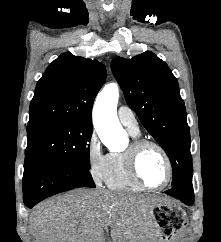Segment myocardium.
<instances>
[{
	"mask_svg": "<svg viewBox=\"0 0 221 242\" xmlns=\"http://www.w3.org/2000/svg\"><path fill=\"white\" fill-rule=\"evenodd\" d=\"M148 147L156 148L162 154L166 162L167 178L165 183L158 187H152L146 184L139 172L140 156L142 152ZM125 156L130 176L143 189L149 191H161L171 183L173 178V165L167 151L158 142L143 138L135 139L125 151Z\"/></svg>",
	"mask_w": 221,
	"mask_h": 242,
	"instance_id": "1",
	"label": "myocardium"
}]
</instances>
